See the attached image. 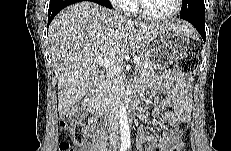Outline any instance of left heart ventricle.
<instances>
[{
    "label": "left heart ventricle",
    "mask_w": 231,
    "mask_h": 151,
    "mask_svg": "<svg viewBox=\"0 0 231 151\" xmlns=\"http://www.w3.org/2000/svg\"><path fill=\"white\" fill-rule=\"evenodd\" d=\"M142 5L146 13L162 16L173 10L174 0H142Z\"/></svg>",
    "instance_id": "obj_1"
}]
</instances>
